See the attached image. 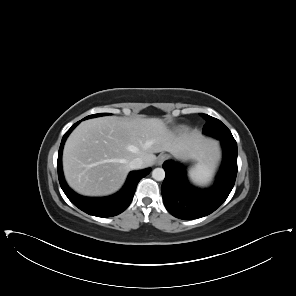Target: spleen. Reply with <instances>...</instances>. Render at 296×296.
<instances>
[{"mask_svg": "<svg viewBox=\"0 0 296 296\" xmlns=\"http://www.w3.org/2000/svg\"><path fill=\"white\" fill-rule=\"evenodd\" d=\"M214 155V157L200 161L189 169L188 175L193 183L206 185L211 181L215 168L216 153Z\"/></svg>", "mask_w": 296, "mask_h": 296, "instance_id": "spleen-1", "label": "spleen"}]
</instances>
